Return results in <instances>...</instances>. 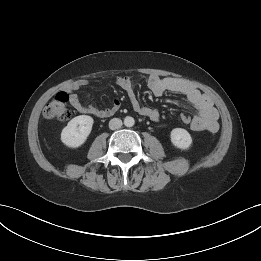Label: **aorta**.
I'll return each instance as SVG.
<instances>
[{
    "instance_id": "1",
    "label": "aorta",
    "mask_w": 261,
    "mask_h": 261,
    "mask_svg": "<svg viewBox=\"0 0 261 261\" xmlns=\"http://www.w3.org/2000/svg\"><path fill=\"white\" fill-rule=\"evenodd\" d=\"M134 123H135V120H134L133 117L126 116V117L124 118V125H125L126 127H132V126L134 125Z\"/></svg>"
}]
</instances>
